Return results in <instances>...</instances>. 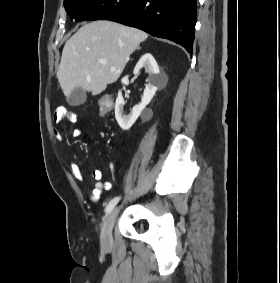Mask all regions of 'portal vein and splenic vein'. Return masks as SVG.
I'll list each match as a JSON object with an SVG mask.
<instances>
[{"label": "portal vein and splenic vein", "instance_id": "obj_1", "mask_svg": "<svg viewBox=\"0 0 280 283\" xmlns=\"http://www.w3.org/2000/svg\"><path fill=\"white\" fill-rule=\"evenodd\" d=\"M100 63H101V64H106L107 61H106V60H100Z\"/></svg>", "mask_w": 280, "mask_h": 283}]
</instances>
